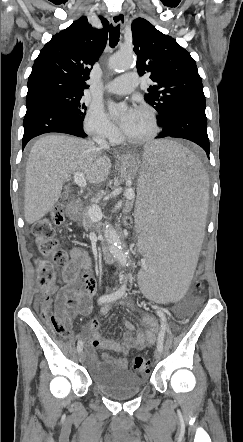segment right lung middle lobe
<instances>
[{
    "instance_id": "1",
    "label": "right lung middle lobe",
    "mask_w": 243,
    "mask_h": 442,
    "mask_svg": "<svg viewBox=\"0 0 243 442\" xmlns=\"http://www.w3.org/2000/svg\"><path fill=\"white\" fill-rule=\"evenodd\" d=\"M82 96L83 93L79 92L53 89L36 97H49L58 100L69 109L76 119L83 123L86 106L81 102Z\"/></svg>"
}]
</instances>
